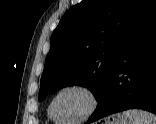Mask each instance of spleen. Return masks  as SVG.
<instances>
[{
    "instance_id": "1",
    "label": "spleen",
    "mask_w": 156,
    "mask_h": 124,
    "mask_svg": "<svg viewBox=\"0 0 156 124\" xmlns=\"http://www.w3.org/2000/svg\"><path fill=\"white\" fill-rule=\"evenodd\" d=\"M122 115L125 119L133 121V124H156V116L146 111L130 109Z\"/></svg>"
}]
</instances>
